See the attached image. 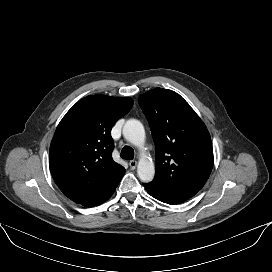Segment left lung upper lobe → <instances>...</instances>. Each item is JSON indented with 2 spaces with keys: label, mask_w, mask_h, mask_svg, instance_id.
<instances>
[{
  "label": "left lung upper lobe",
  "mask_w": 272,
  "mask_h": 272,
  "mask_svg": "<svg viewBox=\"0 0 272 272\" xmlns=\"http://www.w3.org/2000/svg\"><path fill=\"white\" fill-rule=\"evenodd\" d=\"M156 146V177L152 190L192 197L213 167L210 134L196 112L174 91L155 88L139 98Z\"/></svg>",
  "instance_id": "1"
}]
</instances>
